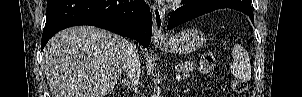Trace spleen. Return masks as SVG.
<instances>
[{
    "label": "spleen",
    "mask_w": 302,
    "mask_h": 97,
    "mask_svg": "<svg viewBox=\"0 0 302 97\" xmlns=\"http://www.w3.org/2000/svg\"><path fill=\"white\" fill-rule=\"evenodd\" d=\"M232 57L234 59L231 65L233 75L244 81L249 80L251 78V65L247 52L241 45L236 44L232 51Z\"/></svg>",
    "instance_id": "spleen-1"
}]
</instances>
